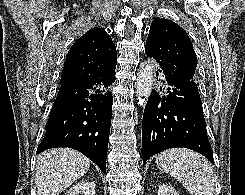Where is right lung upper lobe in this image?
Segmentation results:
<instances>
[{
	"mask_svg": "<svg viewBox=\"0 0 245 195\" xmlns=\"http://www.w3.org/2000/svg\"><path fill=\"white\" fill-rule=\"evenodd\" d=\"M116 47L102 28H93L70 48L61 76V83L92 78L97 71L113 72Z\"/></svg>",
	"mask_w": 245,
	"mask_h": 195,
	"instance_id": "cb5924a9",
	"label": "right lung upper lobe"
}]
</instances>
